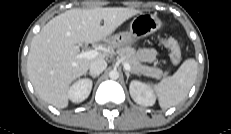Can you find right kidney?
I'll list each match as a JSON object with an SVG mask.
<instances>
[{"label": "right kidney", "mask_w": 231, "mask_h": 134, "mask_svg": "<svg viewBox=\"0 0 231 134\" xmlns=\"http://www.w3.org/2000/svg\"><path fill=\"white\" fill-rule=\"evenodd\" d=\"M91 89V80L80 79L70 87V89L68 90V96L72 102L80 103L89 96Z\"/></svg>", "instance_id": "obj_1"}]
</instances>
